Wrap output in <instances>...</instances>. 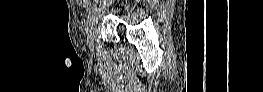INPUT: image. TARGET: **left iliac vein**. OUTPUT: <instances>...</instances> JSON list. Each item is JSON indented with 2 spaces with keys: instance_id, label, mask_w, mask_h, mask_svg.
Instances as JSON below:
<instances>
[{
  "instance_id": "obj_1",
  "label": "left iliac vein",
  "mask_w": 263,
  "mask_h": 92,
  "mask_svg": "<svg viewBox=\"0 0 263 92\" xmlns=\"http://www.w3.org/2000/svg\"><path fill=\"white\" fill-rule=\"evenodd\" d=\"M96 23H97V15L93 16V21H90V30L87 36L90 47H93V44H94V38L96 34V29H97Z\"/></svg>"
}]
</instances>
